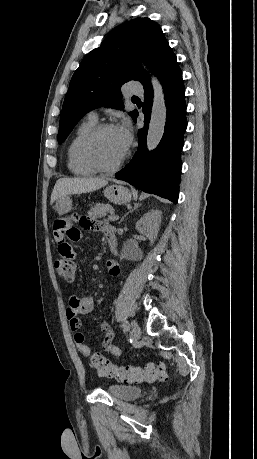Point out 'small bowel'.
I'll return each instance as SVG.
<instances>
[{
    "instance_id": "obj_1",
    "label": "small bowel",
    "mask_w": 257,
    "mask_h": 459,
    "mask_svg": "<svg viewBox=\"0 0 257 459\" xmlns=\"http://www.w3.org/2000/svg\"><path fill=\"white\" fill-rule=\"evenodd\" d=\"M74 221L78 226H84L92 231H101L105 234L106 230L114 231V228L104 222H99L98 217H87L86 213H73L67 211L65 217H55L53 224L54 238L58 240L59 257L64 261H83L84 254L77 249V244H82L83 237L80 227H75ZM109 274L113 277L120 275V268L114 260H109L106 263ZM95 300L91 294L81 296L73 295L69 299V305L66 308V318L68 320L69 329L74 333V341L77 350L84 356L91 355V349L85 343L84 334L80 331L82 321L79 315H84L91 312L94 308ZM101 331L104 334L103 349L115 356H120V349L113 344L114 332L106 323H100Z\"/></svg>"
}]
</instances>
